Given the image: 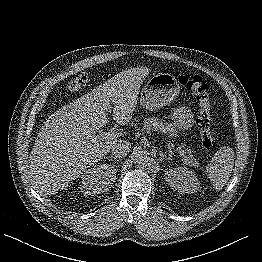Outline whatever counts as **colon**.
<instances>
[{"instance_id": "colon-1", "label": "colon", "mask_w": 262, "mask_h": 262, "mask_svg": "<svg viewBox=\"0 0 262 262\" xmlns=\"http://www.w3.org/2000/svg\"><path fill=\"white\" fill-rule=\"evenodd\" d=\"M90 76L80 75L70 82L68 92H76L89 85ZM179 82L184 87L191 90L198 102L199 112L197 117V126L200 132L202 146L210 149L214 145V139L211 135V103L208 85L201 76L198 75H181Z\"/></svg>"}]
</instances>
